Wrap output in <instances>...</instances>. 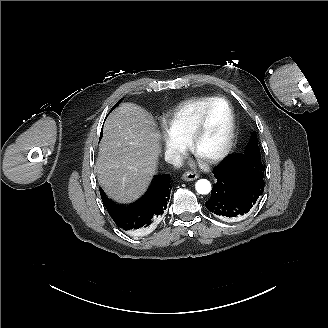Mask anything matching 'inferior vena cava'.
<instances>
[{"instance_id":"inferior-vena-cava-1","label":"inferior vena cava","mask_w":328,"mask_h":328,"mask_svg":"<svg viewBox=\"0 0 328 328\" xmlns=\"http://www.w3.org/2000/svg\"><path fill=\"white\" fill-rule=\"evenodd\" d=\"M180 158V153L173 147L167 148L164 153V160L168 163L177 162L180 160Z\"/></svg>"}]
</instances>
